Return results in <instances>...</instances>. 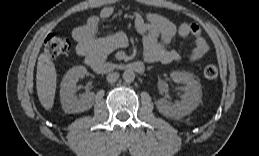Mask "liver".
I'll return each instance as SVG.
<instances>
[{
  "mask_svg": "<svg viewBox=\"0 0 259 156\" xmlns=\"http://www.w3.org/2000/svg\"><path fill=\"white\" fill-rule=\"evenodd\" d=\"M57 74L54 63L42 53L38 57L36 88L40 103L46 110H50L54 104L56 92Z\"/></svg>",
  "mask_w": 259,
  "mask_h": 156,
  "instance_id": "6515ba94",
  "label": "liver"
}]
</instances>
